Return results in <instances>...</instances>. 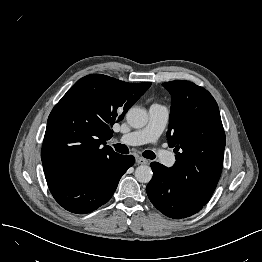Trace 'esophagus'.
Returning <instances> with one entry per match:
<instances>
[{
  "mask_svg": "<svg viewBox=\"0 0 262 262\" xmlns=\"http://www.w3.org/2000/svg\"><path fill=\"white\" fill-rule=\"evenodd\" d=\"M135 161L137 164H148V160L141 156H136Z\"/></svg>",
  "mask_w": 262,
  "mask_h": 262,
  "instance_id": "34e87169",
  "label": "esophagus"
}]
</instances>
